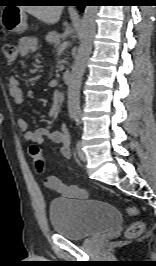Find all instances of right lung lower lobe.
<instances>
[{
	"label": "right lung lower lobe",
	"instance_id": "obj_1",
	"mask_svg": "<svg viewBox=\"0 0 156 266\" xmlns=\"http://www.w3.org/2000/svg\"><path fill=\"white\" fill-rule=\"evenodd\" d=\"M86 2L85 0H78L76 2V6L78 7V9L83 12L84 11V8H85V5H86Z\"/></svg>",
	"mask_w": 156,
	"mask_h": 266
}]
</instances>
